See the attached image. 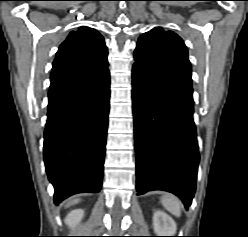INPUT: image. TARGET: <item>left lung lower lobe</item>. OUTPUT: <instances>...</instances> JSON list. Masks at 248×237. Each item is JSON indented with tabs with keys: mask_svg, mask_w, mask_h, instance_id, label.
Returning a JSON list of instances; mask_svg holds the SVG:
<instances>
[{
	"mask_svg": "<svg viewBox=\"0 0 248 237\" xmlns=\"http://www.w3.org/2000/svg\"><path fill=\"white\" fill-rule=\"evenodd\" d=\"M132 78L138 195L168 191L188 208L199 163L192 86L169 81L136 62Z\"/></svg>",
	"mask_w": 248,
	"mask_h": 237,
	"instance_id": "1",
	"label": "left lung lower lobe"
}]
</instances>
